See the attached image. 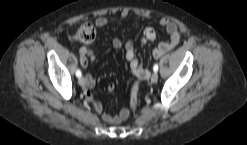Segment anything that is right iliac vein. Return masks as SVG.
I'll return each instance as SVG.
<instances>
[{"label": "right iliac vein", "mask_w": 247, "mask_h": 145, "mask_svg": "<svg viewBox=\"0 0 247 145\" xmlns=\"http://www.w3.org/2000/svg\"><path fill=\"white\" fill-rule=\"evenodd\" d=\"M78 82H79V84L81 86L84 87L86 85V79H85V77H80L79 80H78Z\"/></svg>", "instance_id": "1"}]
</instances>
